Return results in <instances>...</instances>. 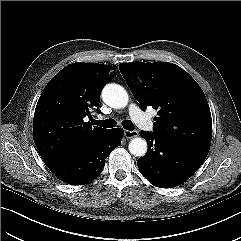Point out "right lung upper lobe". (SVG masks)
Returning <instances> with one entry per match:
<instances>
[{
  "mask_svg": "<svg viewBox=\"0 0 241 241\" xmlns=\"http://www.w3.org/2000/svg\"><path fill=\"white\" fill-rule=\"evenodd\" d=\"M111 66L73 63L57 73L44 88L34 114L33 137L43 161L84 149L110 129L84 122L98 106ZM99 111V110H98Z\"/></svg>",
  "mask_w": 241,
  "mask_h": 241,
  "instance_id": "right-lung-upper-lobe-1",
  "label": "right lung upper lobe"
}]
</instances>
